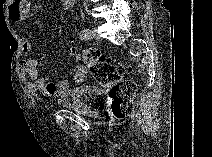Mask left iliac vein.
<instances>
[{"label":"left iliac vein","instance_id":"4c4485c4","mask_svg":"<svg viewBox=\"0 0 212 157\" xmlns=\"http://www.w3.org/2000/svg\"><path fill=\"white\" fill-rule=\"evenodd\" d=\"M91 35L93 36V38H95L96 40H101V36L99 35V33L97 32V30L94 28L91 32Z\"/></svg>","mask_w":212,"mask_h":157}]
</instances>
